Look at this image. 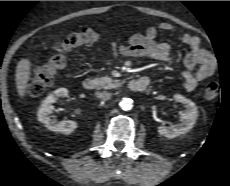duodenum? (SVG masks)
<instances>
[{"mask_svg":"<svg viewBox=\"0 0 230 186\" xmlns=\"http://www.w3.org/2000/svg\"><path fill=\"white\" fill-rule=\"evenodd\" d=\"M149 84L150 80L147 77H141L138 79L130 80L128 87L133 92H142L148 87ZM95 86V80L92 78H87L83 81V88L87 91L94 90Z\"/></svg>","mask_w":230,"mask_h":186,"instance_id":"1","label":"duodenum"}]
</instances>
